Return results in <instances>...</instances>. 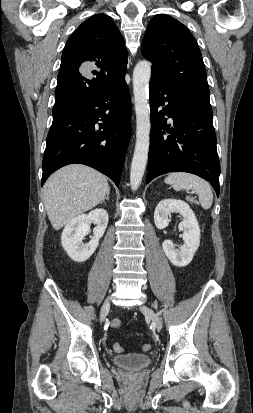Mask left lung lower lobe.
I'll return each mask as SVG.
<instances>
[{
    "mask_svg": "<svg viewBox=\"0 0 253 413\" xmlns=\"http://www.w3.org/2000/svg\"><path fill=\"white\" fill-rule=\"evenodd\" d=\"M149 97L152 125L147 183L168 172H188L209 181L219 196L220 163L212 110L179 96L152 76ZM164 116L172 118L173 124H167Z\"/></svg>",
    "mask_w": 253,
    "mask_h": 413,
    "instance_id": "0a47b994",
    "label": "left lung lower lobe"
}]
</instances>
